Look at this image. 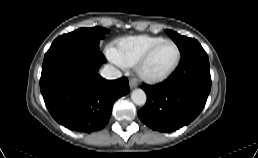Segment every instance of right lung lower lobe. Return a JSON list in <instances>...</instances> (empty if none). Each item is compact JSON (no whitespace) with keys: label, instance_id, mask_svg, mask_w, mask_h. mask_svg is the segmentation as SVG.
Here are the masks:
<instances>
[{"label":"right lung lower lobe","instance_id":"1","mask_svg":"<svg viewBox=\"0 0 258 158\" xmlns=\"http://www.w3.org/2000/svg\"><path fill=\"white\" fill-rule=\"evenodd\" d=\"M106 62L98 50L63 46L45 54L40 90L52 117L66 128L92 132L109 121L114 101L129 92L123 77L108 81L97 72Z\"/></svg>","mask_w":258,"mask_h":158}]
</instances>
